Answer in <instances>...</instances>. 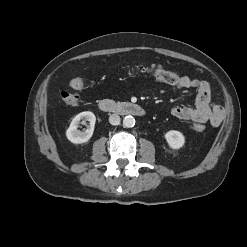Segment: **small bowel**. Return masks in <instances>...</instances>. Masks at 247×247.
Wrapping results in <instances>:
<instances>
[{
    "instance_id": "obj_1",
    "label": "small bowel",
    "mask_w": 247,
    "mask_h": 247,
    "mask_svg": "<svg viewBox=\"0 0 247 247\" xmlns=\"http://www.w3.org/2000/svg\"><path fill=\"white\" fill-rule=\"evenodd\" d=\"M197 90L195 105L175 106L171 113L174 117L181 120L193 121L195 123H209L213 127L221 124L224 118V110L221 106L212 102L211 86L202 79L182 76L174 90L190 89Z\"/></svg>"
}]
</instances>
